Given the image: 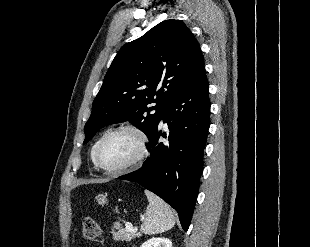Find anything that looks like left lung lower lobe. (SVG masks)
Segmentation results:
<instances>
[{
  "label": "left lung lower lobe",
  "mask_w": 310,
  "mask_h": 247,
  "mask_svg": "<svg viewBox=\"0 0 310 247\" xmlns=\"http://www.w3.org/2000/svg\"><path fill=\"white\" fill-rule=\"evenodd\" d=\"M208 80L204 66L167 105L161 120L167 122V141L159 142L158 128L149 138V155L141 169L120 176L155 193L179 214L187 231L203 171V151L210 126ZM166 138V134L163 133Z\"/></svg>",
  "instance_id": "left-lung-lower-lobe-1"
}]
</instances>
